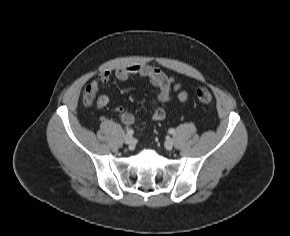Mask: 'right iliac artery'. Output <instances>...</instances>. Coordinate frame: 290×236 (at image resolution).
Here are the masks:
<instances>
[{"mask_svg":"<svg viewBox=\"0 0 290 236\" xmlns=\"http://www.w3.org/2000/svg\"><path fill=\"white\" fill-rule=\"evenodd\" d=\"M133 133H134V131H133V130H130V129H129V130H127V134H128V135H133Z\"/></svg>","mask_w":290,"mask_h":236,"instance_id":"right-iliac-artery-1","label":"right iliac artery"}]
</instances>
